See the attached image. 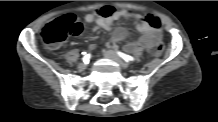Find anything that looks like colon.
I'll use <instances>...</instances> for the list:
<instances>
[{
	"label": "colon",
	"mask_w": 218,
	"mask_h": 122,
	"mask_svg": "<svg viewBox=\"0 0 218 122\" xmlns=\"http://www.w3.org/2000/svg\"><path fill=\"white\" fill-rule=\"evenodd\" d=\"M106 13H110L107 11ZM145 20L153 27L160 28V20L149 14ZM83 26L77 17L73 14H65L57 17L47 23L42 31L43 42L51 49L57 48L68 36H77L81 34ZM163 50V45L159 42L155 51L160 54Z\"/></svg>",
	"instance_id": "5ec220e1"
}]
</instances>
